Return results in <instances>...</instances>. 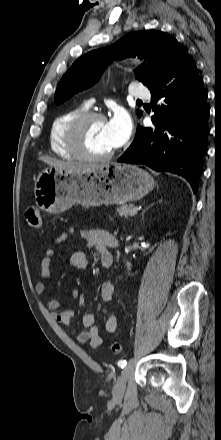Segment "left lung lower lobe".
<instances>
[{
  "mask_svg": "<svg viewBox=\"0 0 221 440\" xmlns=\"http://www.w3.org/2000/svg\"><path fill=\"white\" fill-rule=\"evenodd\" d=\"M148 88L155 106L154 127L138 125L134 141L118 162L181 175L196 194L207 149L209 110L203 80L187 51L181 49Z\"/></svg>",
  "mask_w": 221,
  "mask_h": 440,
  "instance_id": "0a47b994",
  "label": "left lung lower lobe"
}]
</instances>
